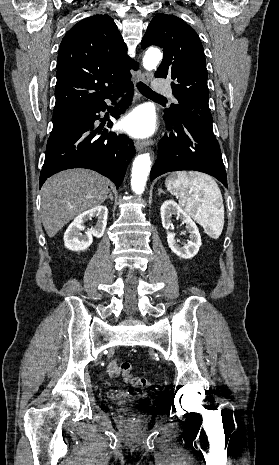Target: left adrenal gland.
Segmentation results:
<instances>
[{"mask_svg":"<svg viewBox=\"0 0 279 465\" xmlns=\"http://www.w3.org/2000/svg\"><path fill=\"white\" fill-rule=\"evenodd\" d=\"M161 193H165L162 189H158V195H160Z\"/></svg>","mask_w":279,"mask_h":465,"instance_id":"left-adrenal-gland-1","label":"left adrenal gland"}]
</instances>
